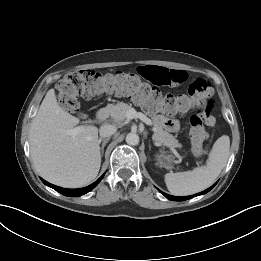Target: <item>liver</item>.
<instances>
[{
    "label": "liver",
    "mask_w": 261,
    "mask_h": 261,
    "mask_svg": "<svg viewBox=\"0 0 261 261\" xmlns=\"http://www.w3.org/2000/svg\"><path fill=\"white\" fill-rule=\"evenodd\" d=\"M58 104L55 90H48L29 131L31 158L47 181L65 188L90 184L101 166L98 128L81 125ZM80 127L77 134L67 131Z\"/></svg>",
    "instance_id": "6515ba94"
}]
</instances>
